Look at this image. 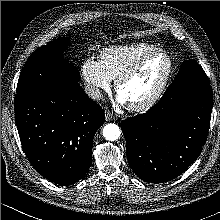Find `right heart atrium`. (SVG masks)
<instances>
[{"label": "right heart atrium", "mask_w": 220, "mask_h": 220, "mask_svg": "<svg viewBox=\"0 0 220 220\" xmlns=\"http://www.w3.org/2000/svg\"><path fill=\"white\" fill-rule=\"evenodd\" d=\"M81 76L89 96L93 99H100L103 91H107L111 85V78L104 71L99 60L94 58L86 59L81 66Z\"/></svg>", "instance_id": "1"}]
</instances>
